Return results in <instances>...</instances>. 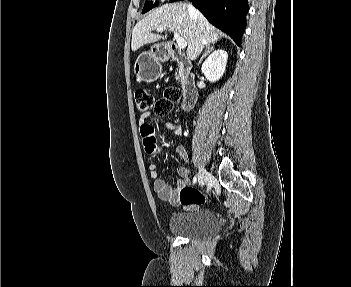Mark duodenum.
I'll return each instance as SVG.
<instances>
[{"instance_id": "1", "label": "duodenum", "mask_w": 351, "mask_h": 287, "mask_svg": "<svg viewBox=\"0 0 351 287\" xmlns=\"http://www.w3.org/2000/svg\"><path fill=\"white\" fill-rule=\"evenodd\" d=\"M156 54L162 59L175 60L180 63L183 70L181 83L184 90L182 108L183 110H190L194 107L198 99V90L191 72L192 62L190 57L173 42L160 46Z\"/></svg>"}]
</instances>
